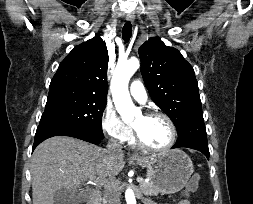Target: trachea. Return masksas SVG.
Returning a JSON list of instances; mask_svg holds the SVG:
<instances>
[{
    "instance_id": "3493384b",
    "label": "trachea",
    "mask_w": 253,
    "mask_h": 204,
    "mask_svg": "<svg viewBox=\"0 0 253 204\" xmlns=\"http://www.w3.org/2000/svg\"><path fill=\"white\" fill-rule=\"evenodd\" d=\"M132 34V25L130 22L125 23L122 30V37L125 42H128Z\"/></svg>"
}]
</instances>
